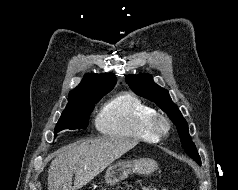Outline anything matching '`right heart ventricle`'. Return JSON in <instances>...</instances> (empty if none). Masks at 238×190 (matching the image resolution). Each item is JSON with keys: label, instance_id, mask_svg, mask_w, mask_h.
<instances>
[{"label": "right heart ventricle", "instance_id": "obj_1", "mask_svg": "<svg viewBox=\"0 0 238 190\" xmlns=\"http://www.w3.org/2000/svg\"><path fill=\"white\" fill-rule=\"evenodd\" d=\"M154 109L138 96L124 92L109 99L95 119L97 130L107 136L154 143L158 137L149 126Z\"/></svg>", "mask_w": 238, "mask_h": 190}]
</instances>
